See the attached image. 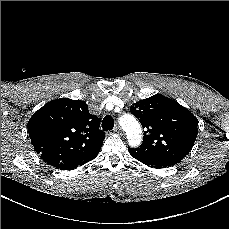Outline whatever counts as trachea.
<instances>
[{"mask_svg": "<svg viewBox=\"0 0 229 229\" xmlns=\"http://www.w3.org/2000/svg\"><path fill=\"white\" fill-rule=\"evenodd\" d=\"M114 127V120L110 115H107L102 120V128L104 131L112 130Z\"/></svg>", "mask_w": 229, "mask_h": 229, "instance_id": "obj_1", "label": "trachea"}]
</instances>
